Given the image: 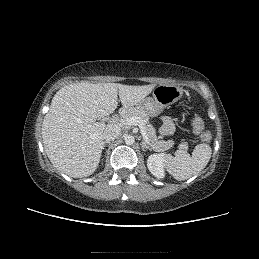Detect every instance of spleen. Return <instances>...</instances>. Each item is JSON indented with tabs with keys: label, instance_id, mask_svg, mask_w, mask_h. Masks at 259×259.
<instances>
[{
	"label": "spleen",
	"instance_id": "spleen-1",
	"mask_svg": "<svg viewBox=\"0 0 259 259\" xmlns=\"http://www.w3.org/2000/svg\"><path fill=\"white\" fill-rule=\"evenodd\" d=\"M211 154L210 145L201 143L194 148L192 156L186 151L178 150L175 157L166 159L165 167L176 180L183 181L203 170L208 164Z\"/></svg>",
	"mask_w": 259,
	"mask_h": 259
}]
</instances>
